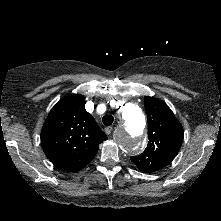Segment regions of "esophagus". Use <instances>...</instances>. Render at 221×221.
<instances>
[{
  "instance_id": "34e87169",
  "label": "esophagus",
  "mask_w": 221,
  "mask_h": 221,
  "mask_svg": "<svg viewBox=\"0 0 221 221\" xmlns=\"http://www.w3.org/2000/svg\"><path fill=\"white\" fill-rule=\"evenodd\" d=\"M104 130H105V133H106L107 135H109V134L112 132L113 127H106Z\"/></svg>"
}]
</instances>
